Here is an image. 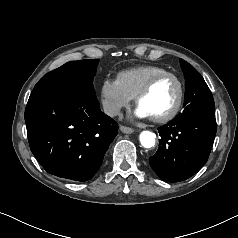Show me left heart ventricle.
Listing matches in <instances>:
<instances>
[{
  "mask_svg": "<svg viewBox=\"0 0 238 238\" xmlns=\"http://www.w3.org/2000/svg\"><path fill=\"white\" fill-rule=\"evenodd\" d=\"M178 96V85L173 78L165 77L159 80L139 102L149 117L166 114L174 106Z\"/></svg>",
  "mask_w": 238,
  "mask_h": 238,
  "instance_id": "left-heart-ventricle-1",
  "label": "left heart ventricle"
}]
</instances>
